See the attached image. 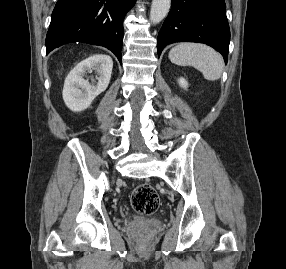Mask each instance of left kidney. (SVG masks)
Returning a JSON list of instances; mask_svg holds the SVG:
<instances>
[{"instance_id": "left-kidney-1", "label": "left kidney", "mask_w": 286, "mask_h": 269, "mask_svg": "<svg viewBox=\"0 0 286 269\" xmlns=\"http://www.w3.org/2000/svg\"><path fill=\"white\" fill-rule=\"evenodd\" d=\"M178 82H179V85H180L182 88L186 89V88L188 87V83H187V81H186L184 78H180V79L178 80Z\"/></svg>"}]
</instances>
